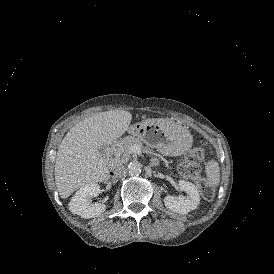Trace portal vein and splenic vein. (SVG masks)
I'll list each match as a JSON object with an SVG mask.
<instances>
[{"mask_svg": "<svg viewBox=\"0 0 274 274\" xmlns=\"http://www.w3.org/2000/svg\"><path fill=\"white\" fill-rule=\"evenodd\" d=\"M135 149L139 151V147L138 146H136Z\"/></svg>", "mask_w": 274, "mask_h": 274, "instance_id": "1", "label": "portal vein and splenic vein"}]
</instances>
